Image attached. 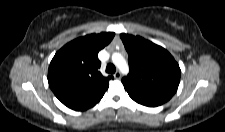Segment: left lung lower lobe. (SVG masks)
<instances>
[{"label": "left lung lower lobe", "instance_id": "1", "mask_svg": "<svg viewBox=\"0 0 225 132\" xmlns=\"http://www.w3.org/2000/svg\"><path fill=\"white\" fill-rule=\"evenodd\" d=\"M142 105H144V104H142ZM145 106L156 107V106H159V105H145Z\"/></svg>", "mask_w": 225, "mask_h": 132}]
</instances>
